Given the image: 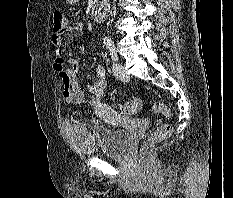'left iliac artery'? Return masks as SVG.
Returning a JSON list of instances; mask_svg holds the SVG:
<instances>
[{"instance_id":"1","label":"left iliac artery","mask_w":233,"mask_h":198,"mask_svg":"<svg viewBox=\"0 0 233 198\" xmlns=\"http://www.w3.org/2000/svg\"><path fill=\"white\" fill-rule=\"evenodd\" d=\"M109 52H110V55L113 59V61H116L117 60V53H116V48H115V45L113 43L112 40L108 39L106 42H105Z\"/></svg>"}]
</instances>
